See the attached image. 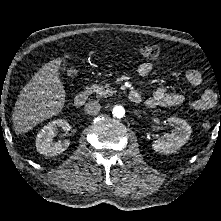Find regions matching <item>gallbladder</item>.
<instances>
[{
	"instance_id": "1",
	"label": "gallbladder",
	"mask_w": 221,
	"mask_h": 221,
	"mask_svg": "<svg viewBox=\"0 0 221 221\" xmlns=\"http://www.w3.org/2000/svg\"><path fill=\"white\" fill-rule=\"evenodd\" d=\"M59 69L62 71V72H64V71H66V69H67V65L64 63V64H62L61 66L59 65Z\"/></svg>"
}]
</instances>
